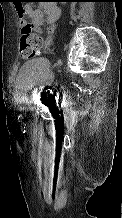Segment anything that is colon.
Wrapping results in <instances>:
<instances>
[{"label":"colon","instance_id":"colon-1","mask_svg":"<svg viewBox=\"0 0 122 218\" xmlns=\"http://www.w3.org/2000/svg\"><path fill=\"white\" fill-rule=\"evenodd\" d=\"M42 45V37L34 33L31 23L25 22L21 28V42L19 47L21 58L29 59L35 57L41 50Z\"/></svg>","mask_w":122,"mask_h":218}]
</instances>
